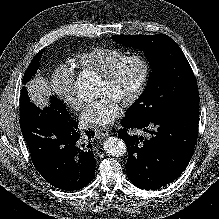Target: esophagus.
<instances>
[{
	"instance_id": "1",
	"label": "esophagus",
	"mask_w": 219,
	"mask_h": 219,
	"mask_svg": "<svg viewBox=\"0 0 219 219\" xmlns=\"http://www.w3.org/2000/svg\"><path fill=\"white\" fill-rule=\"evenodd\" d=\"M95 134L99 137H106L109 135V129L106 127H100L95 130Z\"/></svg>"
}]
</instances>
